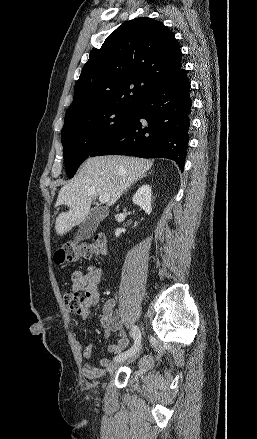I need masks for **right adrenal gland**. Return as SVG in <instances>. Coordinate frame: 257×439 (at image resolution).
Listing matches in <instances>:
<instances>
[{"mask_svg": "<svg viewBox=\"0 0 257 439\" xmlns=\"http://www.w3.org/2000/svg\"><path fill=\"white\" fill-rule=\"evenodd\" d=\"M144 177H146V175H144V176H142L141 178H139L138 180H136L134 183H132V185H134L137 181L143 179ZM132 185H131V186H132ZM126 191H127V190H126Z\"/></svg>", "mask_w": 257, "mask_h": 439, "instance_id": "obj_1", "label": "right adrenal gland"}]
</instances>
